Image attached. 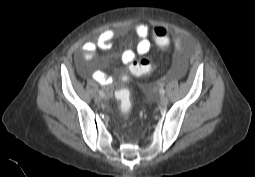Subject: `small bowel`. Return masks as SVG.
Here are the masks:
<instances>
[{"label":"small bowel","mask_w":255,"mask_h":177,"mask_svg":"<svg viewBox=\"0 0 255 177\" xmlns=\"http://www.w3.org/2000/svg\"><path fill=\"white\" fill-rule=\"evenodd\" d=\"M135 34L139 38L137 45V53L140 55L147 54L151 49V41L149 39V26L144 23H138L135 26ZM115 39V33L113 30L107 29L102 31L96 38L95 41L86 42L82 46V57L85 61L91 60L98 49L108 50L112 47L113 41ZM175 47L177 50L180 49L179 39L175 40ZM135 58V53L133 51H124L121 55V60L124 64H128ZM80 71L84 72L85 69L80 67ZM91 78L101 85H110L112 78L109 74L101 70L91 71Z\"/></svg>","instance_id":"obj_1"}]
</instances>
